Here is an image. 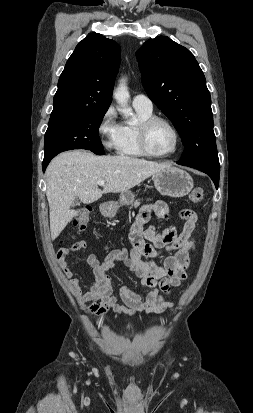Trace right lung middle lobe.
<instances>
[{
  "instance_id": "obj_1",
  "label": "right lung middle lobe",
  "mask_w": 253,
  "mask_h": 413,
  "mask_svg": "<svg viewBox=\"0 0 253 413\" xmlns=\"http://www.w3.org/2000/svg\"><path fill=\"white\" fill-rule=\"evenodd\" d=\"M107 110L71 112L50 117L44 159L72 149L104 150L98 129Z\"/></svg>"
}]
</instances>
